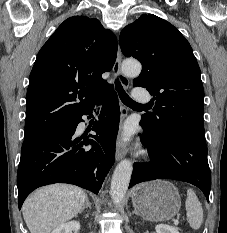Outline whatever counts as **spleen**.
Masks as SVG:
<instances>
[{
    "label": "spleen",
    "mask_w": 227,
    "mask_h": 233,
    "mask_svg": "<svg viewBox=\"0 0 227 233\" xmlns=\"http://www.w3.org/2000/svg\"><path fill=\"white\" fill-rule=\"evenodd\" d=\"M185 206L187 218L191 228L198 230L203 222V209L200 201L192 189L187 190Z\"/></svg>",
    "instance_id": "1"
}]
</instances>
